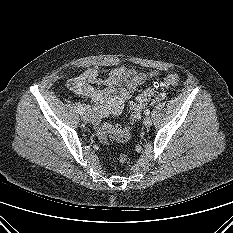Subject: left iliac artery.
I'll return each mask as SVG.
<instances>
[{
  "instance_id": "1",
  "label": "left iliac artery",
  "mask_w": 233,
  "mask_h": 233,
  "mask_svg": "<svg viewBox=\"0 0 233 233\" xmlns=\"http://www.w3.org/2000/svg\"><path fill=\"white\" fill-rule=\"evenodd\" d=\"M144 113H145V115H149V114H150V110H149V109H146V110L144 111Z\"/></svg>"
}]
</instances>
